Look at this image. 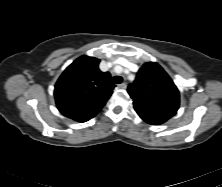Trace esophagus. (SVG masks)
Instances as JSON below:
<instances>
[{
	"label": "esophagus",
	"instance_id": "esophagus-1",
	"mask_svg": "<svg viewBox=\"0 0 222 187\" xmlns=\"http://www.w3.org/2000/svg\"><path fill=\"white\" fill-rule=\"evenodd\" d=\"M126 87H127V84L125 82H123L119 85V88H121V89H126Z\"/></svg>",
	"mask_w": 222,
	"mask_h": 187
}]
</instances>
